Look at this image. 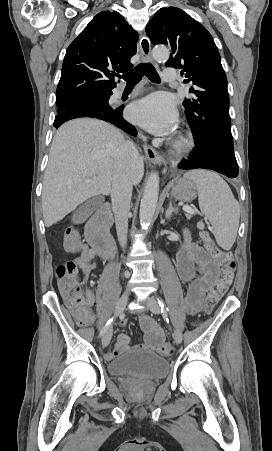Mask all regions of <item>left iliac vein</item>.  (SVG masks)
Returning <instances> with one entry per match:
<instances>
[{"mask_svg":"<svg viewBox=\"0 0 272 451\" xmlns=\"http://www.w3.org/2000/svg\"><path fill=\"white\" fill-rule=\"evenodd\" d=\"M146 305L155 314L161 313V308L157 300L153 297H148L146 300ZM174 341L176 344H180L182 342V334L179 330L174 331Z\"/></svg>","mask_w":272,"mask_h":451,"instance_id":"obj_1","label":"left iliac vein"}]
</instances>
